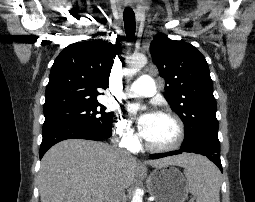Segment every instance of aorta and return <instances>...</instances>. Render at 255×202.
<instances>
[{"label": "aorta", "mask_w": 255, "mask_h": 202, "mask_svg": "<svg viewBox=\"0 0 255 202\" xmlns=\"http://www.w3.org/2000/svg\"><path fill=\"white\" fill-rule=\"evenodd\" d=\"M147 63V58L145 55H133L131 56L128 61V70L126 72L127 75L131 76L137 73L140 69H142ZM142 190L137 189L134 193L131 202H142Z\"/></svg>", "instance_id": "aorta-1"}]
</instances>
